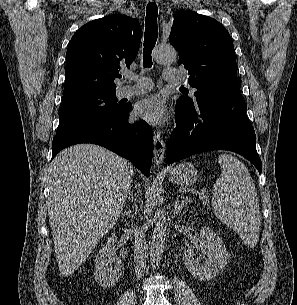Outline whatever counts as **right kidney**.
<instances>
[{"label":"right kidney","mask_w":297,"mask_h":305,"mask_svg":"<svg viewBox=\"0 0 297 305\" xmlns=\"http://www.w3.org/2000/svg\"><path fill=\"white\" fill-rule=\"evenodd\" d=\"M116 241V235L112 234L96 256L94 278L104 288L114 287L122 273L123 264L114 250Z\"/></svg>","instance_id":"1"}]
</instances>
